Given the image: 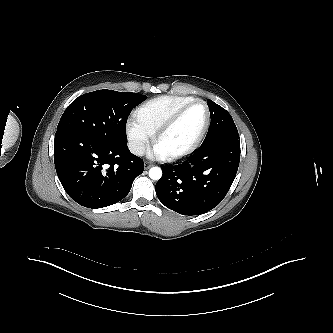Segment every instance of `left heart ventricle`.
I'll return each mask as SVG.
<instances>
[{"label": "left heart ventricle", "instance_id": "obj_1", "mask_svg": "<svg viewBox=\"0 0 333 333\" xmlns=\"http://www.w3.org/2000/svg\"><path fill=\"white\" fill-rule=\"evenodd\" d=\"M206 120V109L198 103L191 106L159 141L157 150L169 154L187 148L198 136Z\"/></svg>", "mask_w": 333, "mask_h": 333}]
</instances>
